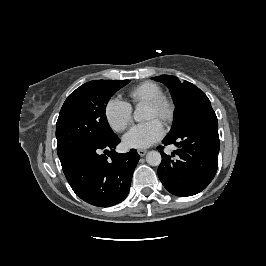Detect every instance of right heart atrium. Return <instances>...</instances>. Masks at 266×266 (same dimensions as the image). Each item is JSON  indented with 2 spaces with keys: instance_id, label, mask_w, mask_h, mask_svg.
<instances>
[{
  "instance_id": "1",
  "label": "right heart atrium",
  "mask_w": 266,
  "mask_h": 266,
  "mask_svg": "<svg viewBox=\"0 0 266 266\" xmlns=\"http://www.w3.org/2000/svg\"><path fill=\"white\" fill-rule=\"evenodd\" d=\"M105 117L113 130L122 132L132 121V107L126 101L113 97L105 106Z\"/></svg>"
}]
</instances>
